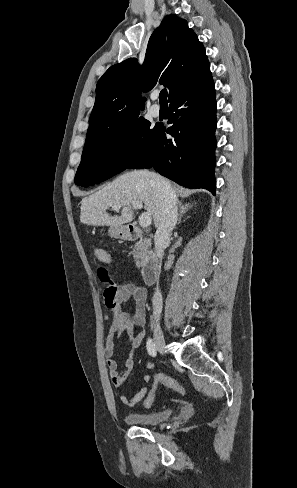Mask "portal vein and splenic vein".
<instances>
[{"label": "portal vein and splenic vein", "mask_w": 297, "mask_h": 488, "mask_svg": "<svg viewBox=\"0 0 297 488\" xmlns=\"http://www.w3.org/2000/svg\"><path fill=\"white\" fill-rule=\"evenodd\" d=\"M131 205L133 206L134 209H141L143 207V203L138 200L132 201ZM113 208L115 210H119L121 208V205L120 204L114 205ZM151 222H152V218L150 213H143L139 217V225L143 228L149 226Z\"/></svg>", "instance_id": "obj_1"}]
</instances>
